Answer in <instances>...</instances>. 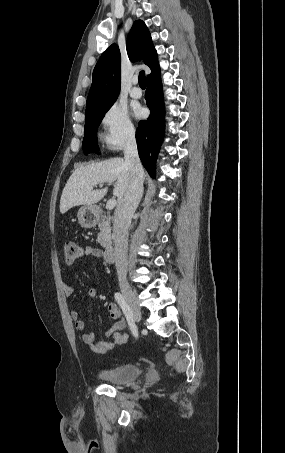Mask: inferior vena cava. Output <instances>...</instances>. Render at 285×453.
<instances>
[{"label": "inferior vena cava", "instance_id": "602c4592", "mask_svg": "<svg viewBox=\"0 0 285 453\" xmlns=\"http://www.w3.org/2000/svg\"><path fill=\"white\" fill-rule=\"evenodd\" d=\"M124 157L125 164L131 170V181L127 193L118 202L113 219L115 264L120 282H125L127 275L128 228L143 194L144 169L138 155L134 133L126 138Z\"/></svg>", "mask_w": 285, "mask_h": 453}]
</instances>
